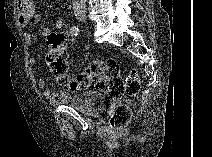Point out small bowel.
I'll return each instance as SVG.
<instances>
[{"instance_id": "obj_1", "label": "small bowel", "mask_w": 212, "mask_h": 157, "mask_svg": "<svg viewBox=\"0 0 212 157\" xmlns=\"http://www.w3.org/2000/svg\"><path fill=\"white\" fill-rule=\"evenodd\" d=\"M40 21V14L37 12L35 5L31 1H23L18 5V24L22 28H27L30 24H37ZM64 26V20L60 16L55 21V27L57 29H62ZM51 33L49 28H44L42 30L43 36L47 37ZM25 41L27 45L31 46L33 44V36L26 32ZM86 50V47L83 48ZM35 58L30 57L28 62L29 64L35 63ZM37 87L43 91L45 99L52 105L64 103L68 99V94L66 92H61L58 94L53 93L50 89L47 88V81L45 78H41L37 82Z\"/></svg>"}]
</instances>
